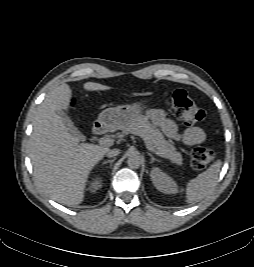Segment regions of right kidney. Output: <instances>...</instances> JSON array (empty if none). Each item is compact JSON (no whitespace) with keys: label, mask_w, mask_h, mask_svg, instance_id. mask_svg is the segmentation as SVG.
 <instances>
[{"label":"right kidney","mask_w":254,"mask_h":267,"mask_svg":"<svg viewBox=\"0 0 254 267\" xmlns=\"http://www.w3.org/2000/svg\"><path fill=\"white\" fill-rule=\"evenodd\" d=\"M101 184H102V180H101V178H100V177H96V178L92 181L90 188H91L92 191H95V190H97L98 188L101 187Z\"/></svg>","instance_id":"ca27d5eb"}]
</instances>
